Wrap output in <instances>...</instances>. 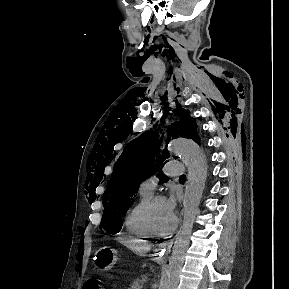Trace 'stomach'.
Here are the masks:
<instances>
[{"mask_svg": "<svg viewBox=\"0 0 289 289\" xmlns=\"http://www.w3.org/2000/svg\"><path fill=\"white\" fill-rule=\"evenodd\" d=\"M118 252L110 247H102L95 254V263L101 271L113 268L118 260Z\"/></svg>", "mask_w": 289, "mask_h": 289, "instance_id": "obj_1", "label": "stomach"}]
</instances>
